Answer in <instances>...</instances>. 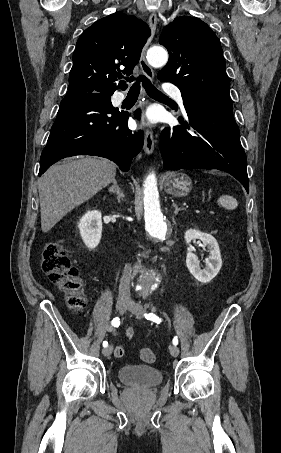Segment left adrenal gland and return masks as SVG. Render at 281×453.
I'll list each match as a JSON object with an SVG mask.
<instances>
[{
	"label": "left adrenal gland",
	"instance_id": "left-adrenal-gland-1",
	"mask_svg": "<svg viewBox=\"0 0 281 453\" xmlns=\"http://www.w3.org/2000/svg\"><path fill=\"white\" fill-rule=\"evenodd\" d=\"M173 206L175 208L174 214H178V210H181V208H178V204H176V202H173Z\"/></svg>",
	"mask_w": 281,
	"mask_h": 453
}]
</instances>
